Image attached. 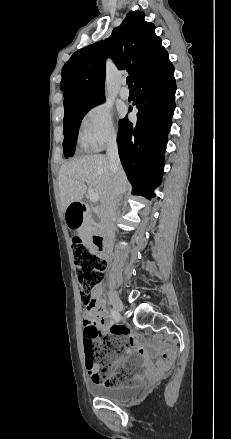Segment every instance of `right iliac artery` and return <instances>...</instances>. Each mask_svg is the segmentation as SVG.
Returning a JSON list of instances; mask_svg holds the SVG:
<instances>
[{
	"label": "right iliac artery",
	"mask_w": 231,
	"mask_h": 439,
	"mask_svg": "<svg viewBox=\"0 0 231 439\" xmlns=\"http://www.w3.org/2000/svg\"><path fill=\"white\" fill-rule=\"evenodd\" d=\"M111 315L114 318V310L113 309L111 310ZM115 321L118 322L117 320H115Z\"/></svg>",
	"instance_id": "82829eb1"
}]
</instances>
